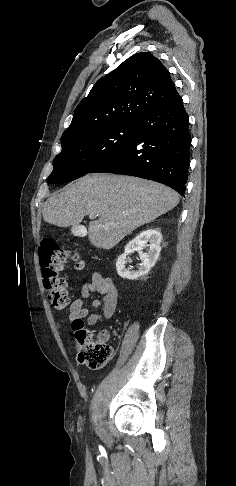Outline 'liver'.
Wrapping results in <instances>:
<instances>
[{"label": "liver", "instance_id": "obj_1", "mask_svg": "<svg viewBox=\"0 0 236 486\" xmlns=\"http://www.w3.org/2000/svg\"><path fill=\"white\" fill-rule=\"evenodd\" d=\"M179 195L169 187L137 177L93 174L69 184L48 198L45 222L68 227L87 214H98L89 224L88 238L96 248L109 250L138 227L173 209Z\"/></svg>", "mask_w": 236, "mask_h": 486}]
</instances>
